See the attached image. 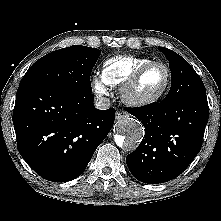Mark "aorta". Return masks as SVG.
Instances as JSON below:
<instances>
[{
    "instance_id": "1",
    "label": "aorta",
    "mask_w": 221,
    "mask_h": 221,
    "mask_svg": "<svg viewBox=\"0 0 221 221\" xmlns=\"http://www.w3.org/2000/svg\"><path fill=\"white\" fill-rule=\"evenodd\" d=\"M116 130L118 132L115 135L116 144L127 151H134L145 133L142 124L133 118H125L119 121Z\"/></svg>"
}]
</instances>
